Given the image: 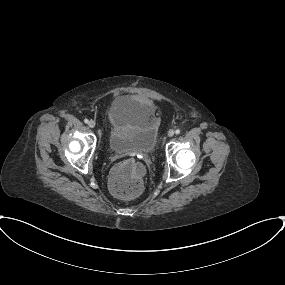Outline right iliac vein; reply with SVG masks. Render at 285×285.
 <instances>
[{"label": "right iliac vein", "instance_id": "right-iliac-vein-1", "mask_svg": "<svg viewBox=\"0 0 285 285\" xmlns=\"http://www.w3.org/2000/svg\"><path fill=\"white\" fill-rule=\"evenodd\" d=\"M88 125H89L90 128H94V127L96 126V123H95L94 120H90V121L88 122Z\"/></svg>", "mask_w": 285, "mask_h": 285}]
</instances>
